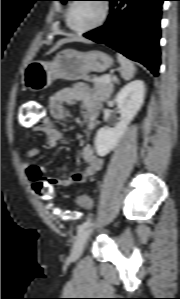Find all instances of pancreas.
Listing matches in <instances>:
<instances>
[{"label": "pancreas", "mask_w": 180, "mask_h": 299, "mask_svg": "<svg viewBox=\"0 0 180 299\" xmlns=\"http://www.w3.org/2000/svg\"><path fill=\"white\" fill-rule=\"evenodd\" d=\"M106 76L104 75L100 78L94 77L93 79L88 78L89 81L95 82L94 90L97 92L99 99L105 101L109 98L113 85L112 83L106 82Z\"/></svg>", "instance_id": "pancreas-1"}]
</instances>
